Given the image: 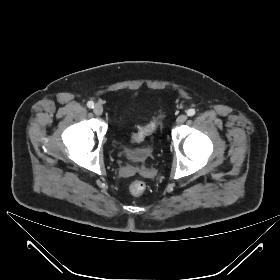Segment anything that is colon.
<instances>
[{
    "label": "colon",
    "mask_w": 280,
    "mask_h": 280,
    "mask_svg": "<svg viewBox=\"0 0 280 280\" xmlns=\"http://www.w3.org/2000/svg\"><path fill=\"white\" fill-rule=\"evenodd\" d=\"M155 129V122L148 125L139 127L137 131L133 134L132 140L135 142H140L147 136H149ZM146 190V184L142 180H133L129 184V191L134 196L142 195Z\"/></svg>",
    "instance_id": "obj_1"
}]
</instances>
